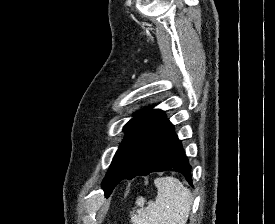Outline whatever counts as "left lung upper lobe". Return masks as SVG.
Instances as JSON below:
<instances>
[{
	"label": "left lung upper lobe",
	"mask_w": 275,
	"mask_h": 224,
	"mask_svg": "<svg viewBox=\"0 0 275 224\" xmlns=\"http://www.w3.org/2000/svg\"><path fill=\"white\" fill-rule=\"evenodd\" d=\"M164 119L163 111L150 108L135 114L123 128L128 133L119 146L104 181L125 175L140 149Z\"/></svg>",
	"instance_id": "obj_1"
}]
</instances>
